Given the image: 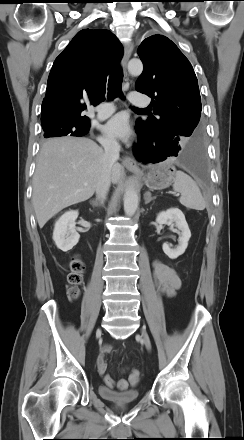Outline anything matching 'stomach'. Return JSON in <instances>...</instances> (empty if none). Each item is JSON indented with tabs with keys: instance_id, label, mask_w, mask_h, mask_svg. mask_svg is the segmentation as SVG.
<instances>
[{
	"instance_id": "stomach-1",
	"label": "stomach",
	"mask_w": 244,
	"mask_h": 440,
	"mask_svg": "<svg viewBox=\"0 0 244 440\" xmlns=\"http://www.w3.org/2000/svg\"><path fill=\"white\" fill-rule=\"evenodd\" d=\"M142 176L146 186L152 190L169 187L174 180L175 168L170 162H162L152 166L146 173L131 170Z\"/></svg>"
}]
</instances>
